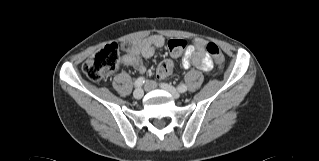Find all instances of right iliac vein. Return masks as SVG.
I'll list each match as a JSON object with an SVG mask.
<instances>
[{
  "label": "right iliac vein",
  "instance_id": "1",
  "mask_svg": "<svg viewBox=\"0 0 319 161\" xmlns=\"http://www.w3.org/2000/svg\"><path fill=\"white\" fill-rule=\"evenodd\" d=\"M144 92L141 88H137L134 92H133V96L135 99H141L143 96Z\"/></svg>",
  "mask_w": 319,
  "mask_h": 161
}]
</instances>
